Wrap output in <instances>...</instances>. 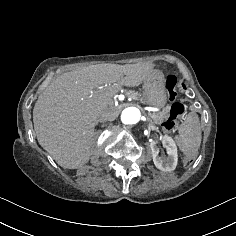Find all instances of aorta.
<instances>
[{
  "label": "aorta",
  "mask_w": 236,
  "mask_h": 236,
  "mask_svg": "<svg viewBox=\"0 0 236 236\" xmlns=\"http://www.w3.org/2000/svg\"><path fill=\"white\" fill-rule=\"evenodd\" d=\"M141 120V112L136 107H127L122 111L121 121L123 124L132 125Z\"/></svg>",
  "instance_id": "762f6f07"
}]
</instances>
